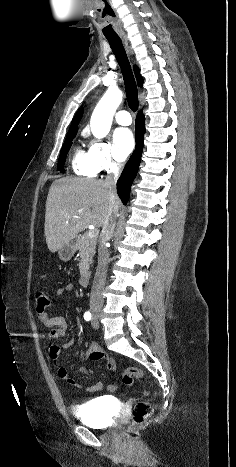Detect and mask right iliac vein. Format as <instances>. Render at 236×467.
I'll return each mask as SVG.
<instances>
[{
    "mask_svg": "<svg viewBox=\"0 0 236 467\" xmlns=\"http://www.w3.org/2000/svg\"><path fill=\"white\" fill-rule=\"evenodd\" d=\"M94 317H95L96 319H98L99 313H95V314H94Z\"/></svg>",
    "mask_w": 236,
    "mask_h": 467,
    "instance_id": "obj_1",
    "label": "right iliac vein"
}]
</instances>
